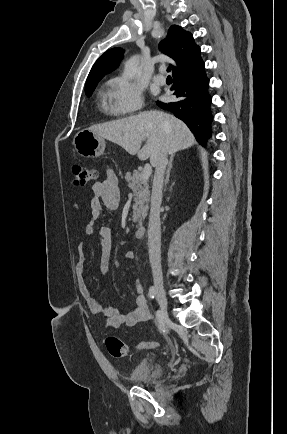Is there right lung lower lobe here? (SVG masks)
<instances>
[{"mask_svg": "<svg viewBox=\"0 0 287 434\" xmlns=\"http://www.w3.org/2000/svg\"><path fill=\"white\" fill-rule=\"evenodd\" d=\"M176 98L169 103L157 102L158 106L171 111L183 120L196 139L202 144L211 137V96L208 93L209 79L205 73V65L198 53L188 65L173 74Z\"/></svg>", "mask_w": 287, "mask_h": 434, "instance_id": "98d812e1", "label": "right lung lower lobe"}]
</instances>
